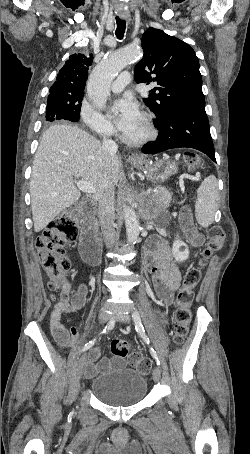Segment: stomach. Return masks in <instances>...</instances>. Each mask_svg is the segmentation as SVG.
<instances>
[{"label": "stomach", "instance_id": "0dacf381", "mask_svg": "<svg viewBox=\"0 0 250 454\" xmlns=\"http://www.w3.org/2000/svg\"><path fill=\"white\" fill-rule=\"evenodd\" d=\"M130 163L138 170L147 172V176L153 181L164 180L178 170L177 164L169 158H162L153 163L150 159L139 156L131 159Z\"/></svg>", "mask_w": 250, "mask_h": 454}]
</instances>
